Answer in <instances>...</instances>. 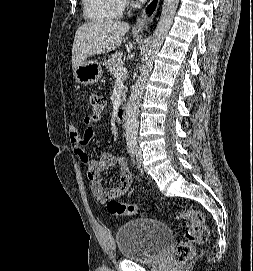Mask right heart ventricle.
I'll list each match as a JSON object with an SVG mask.
<instances>
[{
    "mask_svg": "<svg viewBox=\"0 0 253 271\" xmlns=\"http://www.w3.org/2000/svg\"><path fill=\"white\" fill-rule=\"evenodd\" d=\"M82 3L84 15L94 22L120 18L125 6L123 0H82Z\"/></svg>",
    "mask_w": 253,
    "mask_h": 271,
    "instance_id": "e07e8e85",
    "label": "right heart ventricle"
}]
</instances>
